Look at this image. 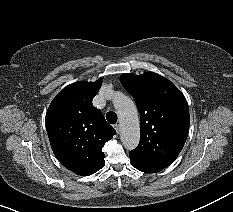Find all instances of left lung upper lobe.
<instances>
[{"instance_id": "5c2ea615", "label": "left lung upper lobe", "mask_w": 233, "mask_h": 212, "mask_svg": "<svg viewBox=\"0 0 233 212\" xmlns=\"http://www.w3.org/2000/svg\"><path fill=\"white\" fill-rule=\"evenodd\" d=\"M120 80L140 113V142L129 154L158 167H168L182 150L189 131L183 94L154 72L123 74Z\"/></svg>"}]
</instances>
